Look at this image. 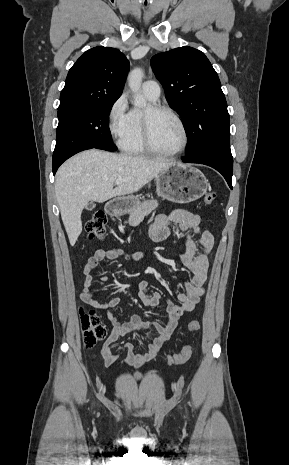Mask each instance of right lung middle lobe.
Returning a JSON list of instances; mask_svg holds the SVG:
<instances>
[{
    "instance_id": "1",
    "label": "right lung middle lobe",
    "mask_w": 289,
    "mask_h": 465,
    "mask_svg": "<svg viewBox=\"0 0 289 465\" xmlns=\"http://www.w3.org/2000/svg\"><path fill=\"white\" fill-rule=\"evenodd\" d=\"M116 100L58 109L59 124L53 162L66 160L91 148L115 151L108 127V115Z\"/></svg>"
}]
</instances>
